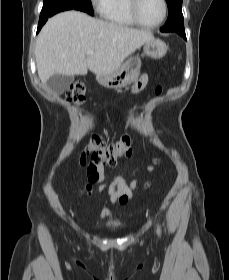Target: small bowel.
Masks as SVG:
<instances>
[{"mask_svg": "<svg viewBox=\"0 0 229 280\" xmlns=\"http://www.w3.org/2000/svg\"><path fill=\"white\" fill-rule=\"evenodd\" d=\"M147 80H148V77L146 75H143L140 78V80L131 87V93H138L139 91H141L144 88V86L146 85ZM156 92L160 93L161 88H157ZM138 181L139 180L137 178H135L130 183V185H128L127 178L120 176V177H117L114 180L113 184L109 187L99 185L98 190L99 191L106 190L112 201L118 200L124 204L131 197L133 190L137 188ZM95 183L89 181V183L87 185V189L89 191H91ZM101 214H102V217H104V218L108 217L111 215V210L108 208H105L102 210Z\"/></svg>", "mask_w": 229, "mask_h": 280, "instance_id": "small-bowel-1", "label": "small bowel"}]
</instances>
